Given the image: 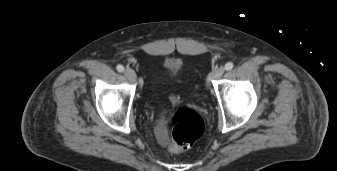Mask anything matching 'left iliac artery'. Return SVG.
I'll return each mask as SVG.
<instances>
[{
	"label": "left iliac artery",
	"instance_id": "1",
	"mask_svg": "<svg viewBox=\"0 0 337 171\" xmlns=\"http://www.w3.org/2000/svg\"><path fill=\"white\" fill-rule=\"evenodd\" d=\"M234 64L232 62H228L225 64V70L229 71L231 69H233Z\"/></svg>",
	"mask_w": 337,
	"mask_h": 171
}]
</instances>
